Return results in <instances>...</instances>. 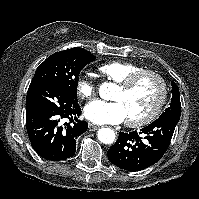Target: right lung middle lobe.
<instances>
[{"label":"right lung middle lobe","mask_w":199,"mask_h":199,"mask_svg":"<svg viewBox=\"0 0 199 199\" xmlns=\"http://www.w3.org/2000/svg\"><path fill=\"white\" fill-rule=\"evenodd\" d=\"M94 60L95 56L83 48L56 52L39 65L30 85L51 82L76 98L79 73Z\"/></svg>","instance_id":"right-lung-middle-lobe-1"}]
</instances>
